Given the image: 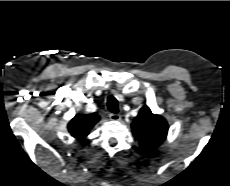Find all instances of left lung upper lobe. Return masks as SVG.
Wrapping results in <instances>:
<instances>
[{
    "label": "left lung upper lobe",
    "mask_w": 230,
    "mask_h": 186,
    "mask_svg": "<svg viewBox=\"0 0 230 186\" xmlns=\"http://www.w3.org/2000/svg\"><path fill=\"white\" fill-rule=\"evenodd\" d=\"M132 131L139 140L141 149L150 150L159 146L166 138L168 125L166 120L143 107L132 123Z\"/></svg>",
    "instance_id": "1"
}]
</instances>
